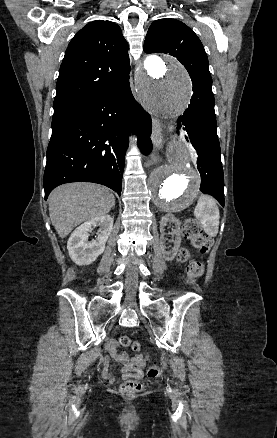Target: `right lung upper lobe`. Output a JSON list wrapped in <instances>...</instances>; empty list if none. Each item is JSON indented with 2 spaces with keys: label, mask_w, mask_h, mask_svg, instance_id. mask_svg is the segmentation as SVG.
Listing matches in <instances>:
<instances>
[{
  "label": "right lung upper lobe",
  "mask_w": 277,
  "mask_h": 438,
  "mask_svg": "<svg viewBox=\"0 0 277 438\" xmlns=\"http://www.w3.org/2000/svg\"><path fill=\"white\" fill-rule=\"evenodd\" d=\"M113 63L111 69L100 68ZM69 64H86L91 71ZM128 43L121 28L108 20L90 22L76 33L68 45L56 84L54 112L111 87L129 76Z\"/></svg>",
  "instance_id": "right-lung-upper-lobe-1"
}]
</instances>
